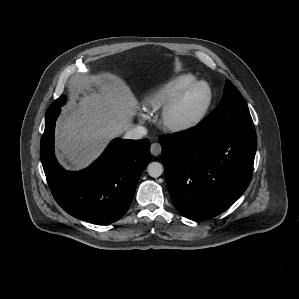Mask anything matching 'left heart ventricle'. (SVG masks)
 <instances>
[{
    "mask_svg": "<svg viewBox=\"0 0 299 299\" xmlns=\"http://www.w3.org/2000/svg\"><path fill=\"white\" fill-rule=\"evenodd\" d=\"M208 92L204 86L191 90L173 111L171 118L176 122H184L194 118L207 101Z\"/></svg>",
    "mask_w": 299,
    "mask_h": 299,
    "instance_id": "left-heart-ventricle-1",
    "label": "left heart ventricle"
}]
</instances>
